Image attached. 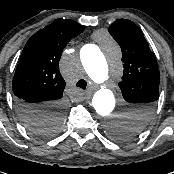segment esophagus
<instances>
[{"mask_svg":"<svg viewBox=\"0 0 174 174\" xmlns=\"http://www.w3.org/2000/svg\"><path fill=\"white\" fill-rule=\"evenodd\" d=\"M86 96H87V98H89L91 96V93L90 92H87L86 93Z\"/></svg>","mask_w":174,"mask_h":174,"instance_id":"1","label":"esophagus"}]
</instances>
